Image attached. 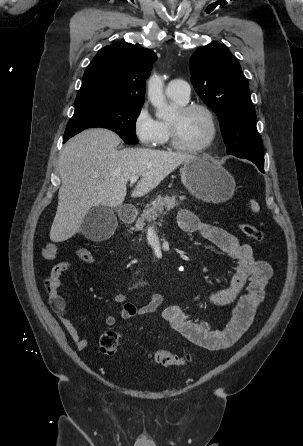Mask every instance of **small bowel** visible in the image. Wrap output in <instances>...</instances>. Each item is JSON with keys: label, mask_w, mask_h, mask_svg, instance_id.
<instances>
[{"label": "small bowel", "mask_w": 303, "mask_h": 446, "mask_svg": "<svg viewBox=\"0 0 303 446\" xmlns=\"http://www.w3.org/2000/svg\"><path fill=\"white\" fill-rule=\"evenodd\" d=\"M177 220L184 232L197 234L213 243L234 263V274L227 288L195 299L216 307L233 305L234 308L230 322L221 330L212 329L207 323L192 318L179 305L167 307L163 312V318L172 329L199 347L208 350L230 348L251 325L256 309L264 299L266 285L272 276V267L268 262L256 259L249 244L241 243L235 235L221 227L201 221L189 210H181ZM41 254L46 260H54L57 256V246L48 242L42 248ZM74 268L75 266L68 261L57 263L52 267L47 277L51 290L49 298L53 310L77 348L85 350L89 342L81 336L76 326L66 316V303L58 293L61 274ZM163 300L160 293L154 292L146 304L137 306L128 301L124 293L113 296V302L121 304L119 315L122 319L146 317L154 313L162 305ZM115 323L114 315L106 316V326L111 327Z\"/></svg>", "instance_id": "obj_1"}]
</instances>
